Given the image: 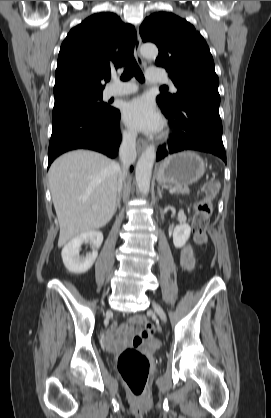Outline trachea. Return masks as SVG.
I'll return each mask as SVG.
<instances>
[{"label": "trachea", "instance_id": "1", "mask_svg": "<svg viewBox=\"0 0 271 418\" xmlns=\"http://www.w3.org/2000/svg\"><path fill=\"white\" fill-rule=\"evenodd\" d=\"M133 76H135V78L138 81L144 82L143 73L140 70L139 66L137 65L135 59L132 58L127 62L125 70H124L123 74L121 75V80L128 81ZM162 89H166V87H162Z\"/></svg>", "mask_w": 271, "mask_h": 418}]
</instances>
